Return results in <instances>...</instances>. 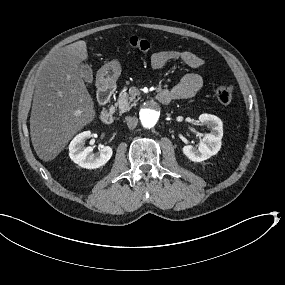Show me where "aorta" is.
<instances>
[{
	"instance_id": "aorta-1",
	"label": "aorta",
	"mask_w": 285,
	"mask_h": 285,
	"mask_svg": "<svg viewBox=\"0 0 285 285\" xmlns=\"http://www.w3.org/2000/svg\"><path fill=\"white\" fill-rule=\"evenodd\" d=\"M138 117L144 127H155L163 121L165 110L159 102L148 100L140 106Z\"/></svg>"
}]
</instances>
